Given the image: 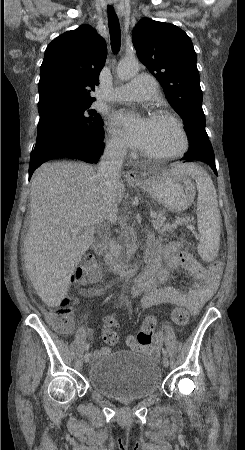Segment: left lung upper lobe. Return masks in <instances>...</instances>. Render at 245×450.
I'll use <instances>...</instances> for the list:
<instances>
[{
  "label": "left lung upper lobe",
  "instance_id": "1",
  "mask_svg": "<svg viewBox=\"0 0 245 450\" xmlns=\"http://www.w3.org/2000/svg\"><path fill=\"white\" fill-rule=\"evenodd\" d=\"M132 39L138 58L160 82L167 100L184 120L187 153L210 148L197 57L189 36L173 24L144 18L133 29Z\"/></svg>",
  "mask_w": 245,
  "mask_h": 450
}]
</instances>
